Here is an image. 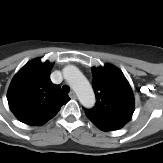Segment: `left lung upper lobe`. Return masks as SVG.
I'll return each mask as SVG.
<instances>
[{
    "instance_id": "1",
    "label": "left lung upper lobe",
    "mask_w": 163,
    "mask_h": 163,
    "mask_svg": "<svg viewBox=\"0 0 163 163\" xmlns=\"http://www.w3.org/2000/svg\"><path fill=\"white\" fill-rule=\"evenodd\" d=\"M92 86L96 105L84 109L91 122L125 125L134 112V96L130 84L116 67L106 64L93 67Z\"/></svg>"
}]
</instances>
